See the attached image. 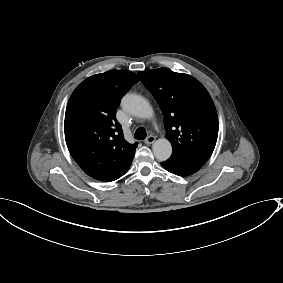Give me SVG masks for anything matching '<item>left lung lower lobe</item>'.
I'll return each mask as SVG.
<instances>
[{
    "label": "left lung lower lobe",
    "instance_id": "0a47b994",
    "mask_svg": "<svg viewBox=\"0 0 283 283\" xmlns=\"http://www.w3.org/2000/svg\"><path fill=\"white\" fill-rule=\"evenodd\" d=\"M161 165L167 171L179 176L191 175L201 168L200 165L173 157H170L167 161L162 162Z\"/></svg>",
    "mask_w": 283,
    "mask_h": 283
}]
</instances>
